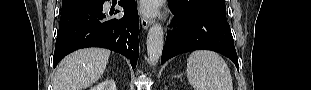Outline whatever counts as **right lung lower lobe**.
Instances as JSON below:
<instances>
[{"label": "right lung lower lobe", "mask_w": 311, "mask_h": 90, "mask_svg": "<svg viewBox=\"0 0 311 90\" xmlns=\"http://www.w3.org/2000/svg\"><path fill=\"white\" fill-rule=\"evenodd\" d=\"M105 0H95L63 12L56 39L53 67L69 53L85 47H103L121 53L134 69L139 54V17L135 0H121V19L111 18L118 11L103 10Z\"/></svg>", "instance_id": "obj_1"}]
</instances>
